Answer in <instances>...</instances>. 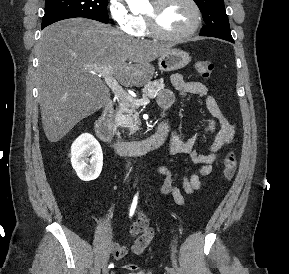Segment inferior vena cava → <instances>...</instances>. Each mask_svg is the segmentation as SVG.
Returning <instances> with one entry per match:
<instances>
[{
	"label": "inferior vena cava",
	"mask_w": 289,
	"mask_h": 274,
	"mask_svg": "<svg viewBox=\"0 0 289 274\" xmlns=\"http://www.w3.org/2000/svg\"><path fill=\"white\" fill-rule=\"evenodd\" d=\"M131 169H129V171H130ZM128 176H129V172L126 174V178H128Z\"/></svg>",
	"instance_id": "obj_1"
}]
</instances>
